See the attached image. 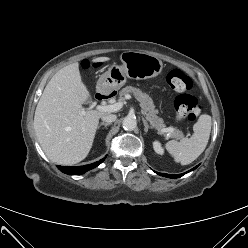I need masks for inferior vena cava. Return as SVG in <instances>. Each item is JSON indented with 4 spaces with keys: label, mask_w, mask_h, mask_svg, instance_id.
I'll return each instance as SVG.
<instances>
[{
    "label": "inferior vena cava",
    "mask_w": 248,
    "mask_h": 248,
    "mask_svg": "<svg viewBox=\"0 0 248 248\" xmlns=\"http://www.w3.org/2000/svg\"><path fill=\"white\" fill-rule=\"evenodd\" d=\"M116 118L117 117L114 114H106V115H103L101 119L103 122L112 123L116 120Z\"/></svg>",
    "instance_id": "1"
}]
</instances>
